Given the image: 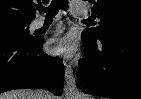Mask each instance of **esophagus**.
Here are the masks:
<instances>
[{
	"mask_svg": "<svg viewBox=\"0 0 141 99\" xmlns=\"http://www.w3.org/2000/svg\"><path fill=\"white\" fill-rule=\"evenodd\" d=\"M65 81H66L64 89L65 96L66 97L74 96L77 93L76 81L73 70L70 65H66L65 68Z\"/></svg>",
	"mask_w": 141,
	"mask_h": 99,
	"instance_id": "1",
	"label": "esophagus"
}]
</instances>
